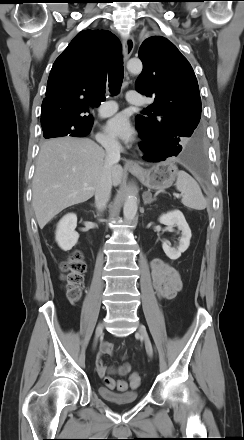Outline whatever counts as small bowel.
<instances>
[{
    "label": "small bowel",
    "instance_id": "c3829d8e",
    "mask_svg": "<svg viewBox=\"0 0 244 440\" xmlns=\"http://www.w3.org/2000/svg\"><path fill=\"white\" fill-rule=\"evenodd\" d=\"M151 275L155 290L160 298L173 299L182 288V281L179 272L170 264L159 258L151 261ZM114 352L110 343H103L96 358V371L103 378L106 374H118L126 376L131 366L125 363L119 367L107 366L104 363V355H112Z\"/></svg>",
    "mask_w": 244,
    "mask_h": 440
}]
</instances>
